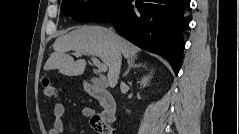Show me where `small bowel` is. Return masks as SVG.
<instances>
[{
	"mask_svg": "<svg viewBox=\"0 0 239 134\" xmlns=\"http://www.w3.org/2000/svg\"><path fill=\"white\" fill-rule=\"evenodd\" d=\"M54 114V123L52 128L49 130V134H64V123L63 116L65 114V107L62 103H56L53 108ZM82 114L84 117H92L94 115L93 109L86 107L82 110Z\"/></svg>",
	"mask_w": 239,
	"mask_h": 134,
	"instance_id": "c3829d8e",
	"label": "small bowel"
}]
</instances>
